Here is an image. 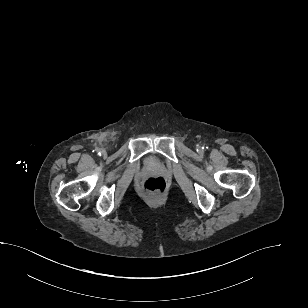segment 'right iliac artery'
Here are the masks:
<instances>
[{
	"instance_id": "right-iliac-artery-1",
	"label": "right iliac artery",
	"mask_w": 308,
	"mask_h": 308,
	"mask_svg": "<svg viewBox=\"0 0 308 308\" xmlns=\"http://www.w3.org/2000/svg\"><path fill=\"white\" fill-rule=\"evenodd\" d=\"M98 155H101L102 151H100L99 149H97Z\"/></svg>"
}]
</instances>
